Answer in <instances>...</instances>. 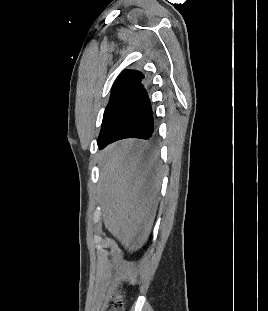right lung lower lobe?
I'll return each instance as SVG.
<instances>
[{
    "label": "right lung lower lobe",
    "mask_w": 268,
    "mask_h": 311,
    "mask_svg": "<svg viewBox=\"0 0 268 311\" xmlns=\"http://www.w3.org/2000/svg\"><path fill=\"white\" fill-rule=\"evenodd\" d=\"M156 136V117L148 93L140 82L133 91L124 109L106 132L97 141L100 149L125 138L153 139Z\"/></svg>",
    "instance_id": "right-lung-lower-lobe-1"
}]
</instances>
